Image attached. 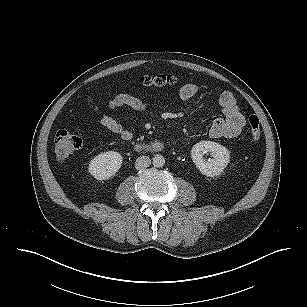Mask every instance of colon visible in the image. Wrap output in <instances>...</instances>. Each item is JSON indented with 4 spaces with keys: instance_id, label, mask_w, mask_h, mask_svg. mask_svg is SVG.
<instances>
[{
    "instance_id": "colon-1",
    "label": "colon",
    "mask_w": 307,
    "mask_h": 307,
    "mask_svg": "<svg viewBox=\"0 0 307 307\" xmlns=\"http://www.w3.org/2000/svg\"><path fill=\"white\" fill-rule=\"evenodd\" d=\"M140 83L150 88H168L177 83L171 75L144 76ZM249 135L253 142L257 143L261 138L259 119L255 115L248 118ZM82 145V136L79 132L70 129H61L57 132L54 141V153L57 159L64 160Z\"/></svg>"
}]
</instances>
